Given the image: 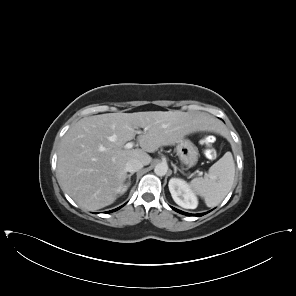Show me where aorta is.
I'll use <instances>...</instances> for the list:
<instances>
[{"label":"aorta","mask_w":296,"mask_h":296,"mask_svg":"<svg viewBox=\"0 0 296 296\" xmlns=\"http://www.w3.org/2000/svg\"><path fill=\"white\" fill-rule=\"evenodd\" d=\"M168 171V166L165 163H159L155 166L154 172L157 176H164Z\"/></svg>","instance_id":"aorta-1"}]
</instances>
